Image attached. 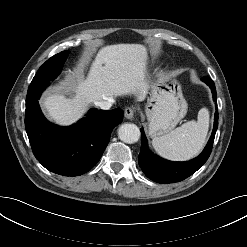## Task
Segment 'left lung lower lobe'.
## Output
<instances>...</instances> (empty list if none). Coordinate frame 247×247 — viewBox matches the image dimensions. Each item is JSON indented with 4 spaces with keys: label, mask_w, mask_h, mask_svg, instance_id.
Wrapping results in <instances>:
<instances>
[{
    "label": "left lung lower lobe",
    "mask_w": 247,
    "mask_h": 247,
    "mask_svg": "<svg viewBox=\"0 0 247 247\" xmlns=\"http://www.w3.org/2000/svg\"><path fill=\"white\" fill-rule=\"evenodd\" d=\"M201 80L210 87L213 100L217 106L216 88L213 80L208 77H203ZM217 128L218 109L216 108L214 128L206 147L198 157L187 162H171L153 155L148 149L145 134L143 130H141V151L138 162L142 171L151 180L162 184L179 182L186 179L195 173L209 158Z\"/></svg>",
    "instance_id": "0a47b994"
}]
</instances>
